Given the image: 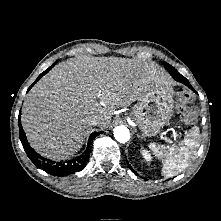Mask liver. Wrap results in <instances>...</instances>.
Returning a JSON list of instances; mask_svg holds the SVG:
<instances>
[{
    "label": "liver",
    "mask_w": 221,
    "mask_h": 221,
    "mask_svg": "<svg viewBox=\"0 0 221 221\" xmlns=\"http://www.w3.org/2000/svg\"><path fill=\"white\" fill-rule=\"evenodd\" d=\"M154 62L83 56L56 65L27 94L22 126L37 152L65 160L78 152L88 121L108 127L116 108L128 106L154 87L168 86Z\"/></svg>",
    "instance_id": "liver-1"
}]
</instances>
